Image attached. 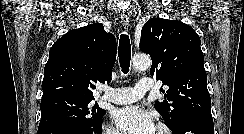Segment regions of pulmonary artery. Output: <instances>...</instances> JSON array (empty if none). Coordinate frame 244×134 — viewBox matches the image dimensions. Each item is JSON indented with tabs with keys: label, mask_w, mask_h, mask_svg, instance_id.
I'll return each mask as SVG.
<instances>
[{
	"label": "pulmonary artery",
	"mask_w": 244,
	"mask_h": 134,
	"mask_svg": "<svg viewBox=\"0 0 244 134\" xmlns=\"http://www.w3.org/2000/svg\"><path fill=\"white\" fill-rule=\"evenodd\" d=\"M152 87L151 80L144 78L133 88H107L103 99L114 104H129L142 98Z\"/></svg>",
	"instance_id": "obj_1"
}]
</instances>
